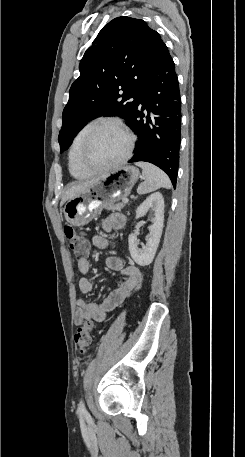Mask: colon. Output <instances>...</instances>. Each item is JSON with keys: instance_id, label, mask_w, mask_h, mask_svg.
I'll return each instance as SVG.
<instances>
[{"instance_id": "obj_1", "label": "colon", "mask_w": 245, "mask_h": 457, "mask_svg": "<svg viewBox=\"0 0 245 457\" xmlns=\"http://www.w3.org/2000/svg\"><path fill=\"white\" fill-rule=\"evenodd\" d=\"M64 230L70 250L79 259L86 258L90 250L88 241L69 225L65 226ZM93 328V323L87 321L81 324L74 334L75 345L81 353H85L91 344Z\"/></svg>"}]
</instances>
